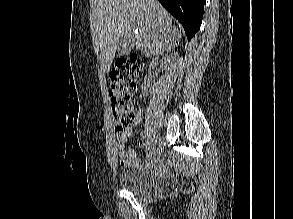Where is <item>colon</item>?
I'll return each mask as SVG.
<instances>
[{"mask_svg":"<svg viewBox=\"0 0 293 219\" xmlns=\"http://www.w3.org/2000/svg\"><path fill=\"white\" fill-rule=\"evenodd\" d=\"M143 69V61L136 54L121 57L116 68L109 75L110 96L117 111V126L125 129L131 126L136 117V79Z\"/></svg>","mask_w":293,"mask_h":219,"instance_id":"obj_1","label":"colon"}]
</instances>
